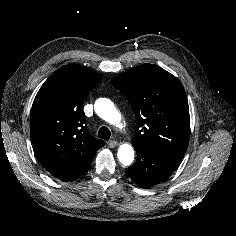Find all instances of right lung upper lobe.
Masks as SVG:
<instances>
[{"label":"right lung upper lobe","mask_w":236,"mask_h":236,"mask_svg":"<svg viewBox=\"0 0 236 236\" xmlns=\"http://www.w3.org/2000/svg\"><path fill=\"white\" fill-rule=\"evenodd\" d=\"M102 77L78 64L56 70L38 91L31 110L30 135L36 156L52 175L92 162L105 142L92 137L82 105Z\"/></svg>","instance_id":"cb5924a9"}]
</instances>
